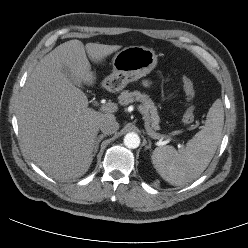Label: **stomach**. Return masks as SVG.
<instances>
[{
	"mask_svg": "<svg viewBox=\"0 0 248 248\" xmlns=\"http://www.w3.org/2000/svg\"><path fill=\"white\" fill-rule=\"evenodd\" d=\"M157 65V55L143 46H130L119 51L113 58L112 73L104 80L109 91H120L130 82L149 74Z\"/></svg>",
	"mask_w": 248,
	"mask_h": 248,
	"instance_id": "1",
	"label": "stomach"
}]
</instances>
